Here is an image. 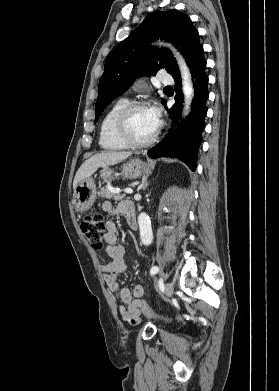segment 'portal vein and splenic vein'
Listing matches in <instances>:
<instances>
[{
    "instance_id": "portal-vein-and-splenic-vein-1",
    "label": "portal vein and splenic vein",
    "mask_w": 279,
    "mask_h": 391,
    "mask_svg": "<svg viewBox=\"0 0 279 391\" xmlns=\"http://www.w3.org/2000/svg\"><path fill=\"white\" fill-rule=\"evenodd\" d=\"M124 192H125L126 194H132V193H133V190H132L131 188H127V189L124 190Z\"/></svg>"
}]
</instances>
